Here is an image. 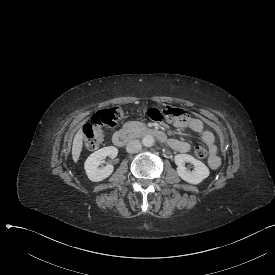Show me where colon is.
<instances>
[{
	"mask_svg": "<svg viewBox=\"0 0 275 275\" xmlns=\"http://www.w3.org/2000/svg\"><path fill=\"white\" fill-rule=\"evenodd\" d=\"M144 114L147 118L156 122H162L163 120L178 121L185 117L186 111L182 108L164 105L162 108L149 107L144 111ZM122 116L123 109L119 106L97 111L82 127L85 147L89 150H98L103 144L105 129L116 125ZM194 152L199 159H205L208 155L207 148L204 145H197Z\"/></svg>",
	"mask_w": 275,
	"mask_h": 275,
	"instance_id": "obj_1",
	"label": "colon"
}]
</instances>
